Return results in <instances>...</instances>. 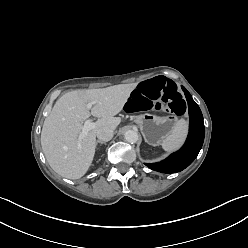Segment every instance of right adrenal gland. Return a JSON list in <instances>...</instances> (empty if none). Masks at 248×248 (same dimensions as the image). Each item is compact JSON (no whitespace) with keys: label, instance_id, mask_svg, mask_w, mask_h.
<instances>
[{"label":"right adrenal gland","instance_id":"2a0ac1e0","mask_svg":"<svg viewBox=\"0 0 248 248\" xmlns=\"http://www.w3.org/2000/svg\"><path fill=\"white\" fill-rule=\"evenodd\" d=\"M98 143L101 144V145L106 144V142H104V141H99V140L96 141V144H98Z\"/></svg>","mask_w":248,"mask_h":248}]
</instances>
